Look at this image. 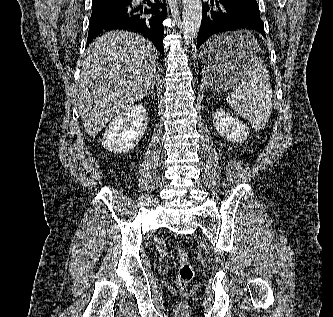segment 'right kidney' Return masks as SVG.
<instances>
[{
    "label": "right kidney",
    "instance_id": "ca27d5eb",
    "mask_svg": "<svg viewBox=\"0 0 333 317\" xmlns=\"http://www.w3.org/2000/svg\"><path fill=\"white\" fill-rule=\"evenodd\" d=\"M146 126L145 107L141 104L133 105L119 113L109 123L102 145L106 150L114 153H127L140 142Z\"/></svg>",
    "mask_w": 333,
    "mask_h": 317
}]
</instances>
